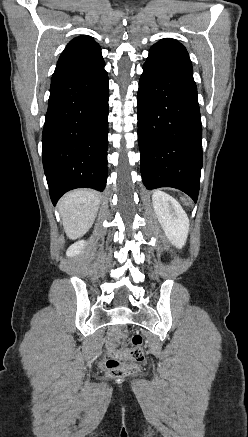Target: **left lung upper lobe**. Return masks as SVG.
Returning <instances> with one entry per match:
<instances>
[{"instance_id": "obj_1", "label": "left lung upper lobe", "mask_w": 248, "mask_h": 437, "mask_svg": "<svg viewBox=\"0 0 248 437\" xmlns=\"http://www.w3.org/2000/svg\"><path fill=\"white\" fill-rule=\"evenodd\" d=\"M146 63L193 73L185 47L174 39H163L154 44L149 51Z\"/></svg>"}]
</instances>
